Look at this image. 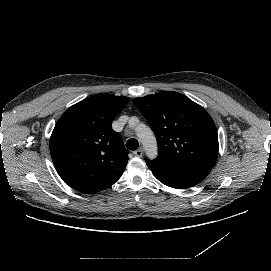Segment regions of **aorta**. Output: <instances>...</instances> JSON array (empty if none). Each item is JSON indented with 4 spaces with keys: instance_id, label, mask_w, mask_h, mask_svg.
I'll list each match as a JSON object with an SVG mask.
<instances>
[{
    "instance_id": "aorta-1",
    "label": "aorta",
    "mask_w": 271,
    "mask_h": 271,
    "mask_svg": "<svg viewBox=\"0 0 271 271\" xmlns=\"http://www.w3.org/2000/svg\"><path fill=\"white\" fill-rule=\"evenodd\" d=\"M139 138L144 145L147 154L150 157H154L156 155L157 147L152 131L148 128H145L144 130L140 131Z\"/></svg>"
}]
</instances>
